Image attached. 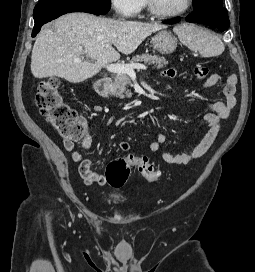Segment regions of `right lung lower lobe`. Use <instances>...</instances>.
<instances>
[{"label":"right lung lower lobe","mask_w":255,"mask_h":272,"mask_svg":"<svg viewBox=\"0 0 255 272\" xmlns=\"http://www.w3.org/2000/svg\"><path fill=\"white\" fill-rule=\"evenodd\" d=\"M71 12H87L95 15H101V13L85 7L83 5H79L76 3L69 2H44L38 3L34 8V29L32 32V37H35L37 33L40 31V28L43 24L52 21L53 19L58 18L61 15Z\"/></svg>","instance_id":"right-lung-lower-lobe-1"}]
</instances>
